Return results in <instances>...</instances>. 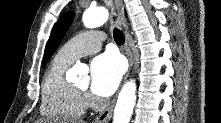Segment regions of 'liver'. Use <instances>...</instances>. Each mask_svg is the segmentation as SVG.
Wrapping results in <instances>:
<instances>
[{"mask_svg":"<svg viewBox=\"0 0 221 123\" xmlns=\"http://www.w3.org/2000/svg\"><path fill=\"white\" fill-rule=\"evenodd\" d=\"M69 123H84L83 120H74V119H70L67 120ZM35 123H46V120H37Z\"/></svg>","mask_w":221,"mask_h":123,"instance_id":"1","label":"liver"}]
</instances>
